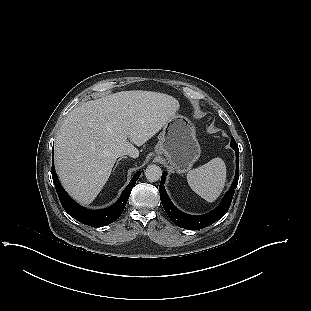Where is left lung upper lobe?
Wrapping results in <instances>:
<instances>
[{"mask_svg": "<svg viewBox=\"0 0 311 311\" xmlns=\"http://www.w3.org/2000/svg\"><path fill=\"white\" fill-rule=\"evenodd\" d=\"M232 141H235L234 138H232L231 142H232Z\"/></svg>", "mask_w": 311, "mask_h": 311, "instance_id": "obj_1", "label": "left lung upper lobe"}]
</instances>
